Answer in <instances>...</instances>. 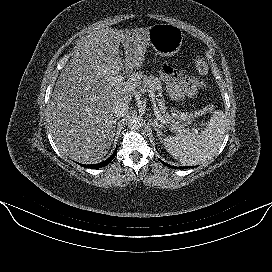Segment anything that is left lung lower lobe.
Returning a JSON list of instances; mask_svg holds the SVG:
<instances>
[{"label":"left lung lower lobe","instance_id":"1","mask_svg":"<svg viewBox=\"0 0 272 272\" xmlns=\"http://www.w3.org/2000/svg\"><path fill=\"white\" fill-rule=\"evenodd\" d=\"M161 162H162V161H161ZM162 163H163L164 165H166L164 162H162ZM168 167L173 168V166H170V165H169ZM174 168H177V167H174ZM186 168L188 169L189 167H178V169H186Z\"/></svg>","mask_w":272,"mask_h":272}]
</instances>
